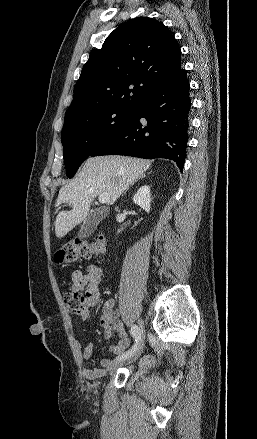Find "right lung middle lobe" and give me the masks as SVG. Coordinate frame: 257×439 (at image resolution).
<instances>
[{"mask_svg":"<svg viewBox=\"0 0 257 439\" xmlns=\"http://www.w3.org/2000/svg\"><path fill=\"white\" fill-rule=\"evenodd\" d=\"M135 109L111 106L65 120L61 142L67 177L72 178L101 142L128 123Z\"/></svg>","mask_w":257,"mask_h":439,"instance_id":"obj_1","label":"right lung middle lobe"}]
</instances>
